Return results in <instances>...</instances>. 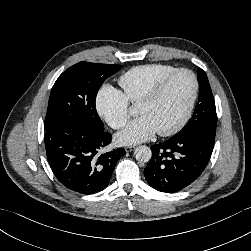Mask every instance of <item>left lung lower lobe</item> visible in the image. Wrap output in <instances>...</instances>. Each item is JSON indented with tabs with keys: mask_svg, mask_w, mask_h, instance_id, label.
<instances>
[{
	"mask_svg": "<svg viewBox=\"0 0 251 251\" xmlns=\"http://www.w3.org/2000/svg\"><path fill=\"white\" fill-rule=\"evenodd\" d=\"M214 142L215 135L195 131L152 145V157L144 170L147 182L160 192L185 189L204 171Z\"/></svg>",
	"mask_w": 251,
	"mask_h": 251,
	"instance_id": "obj_1",
	"label": "left lung lower lobe"
}]
</instances>
